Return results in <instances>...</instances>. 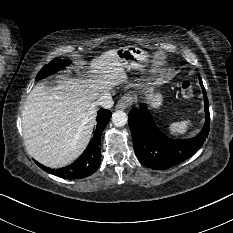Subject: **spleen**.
<instances>
[{"label": "spleen", "mask_w": 233, "mask_h": 233, "mask_svg": "<svg viewBox=\"0 0 233 233\" xmlns=\"http://www.w3.org/2000/svg\"><path fill=\"white\" fill-rule=\"evenodd\" d=\"M190 125H191L190 120H184V121H181V122L170 124L168 126V130H169L170 134H172L174 136L183 135V134H185L187 132Z\"/></svg>", "instance_id": "spleen-1"}]
</instances>
